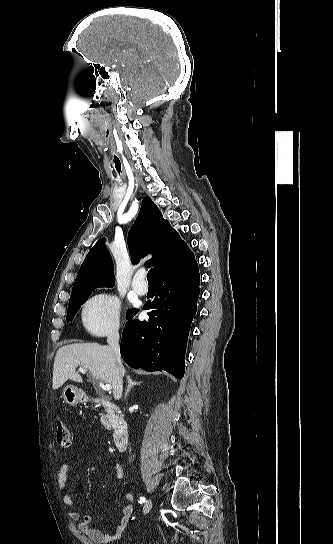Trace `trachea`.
Segmentation results:
<instances>
[{
  "label": "trachea",
  "instance_id": "obj_1",
  "mask_svg": "<svg viewBox=\"0 0 333 544\" xmlns=\"http://www.w3.org/2000/svg\"><path fill=\"white\" fill-rule=\"evenodd\" d=\"M147 279H148V282L150 283H155L156 281V278H155V273H154V269L151 268L149 271H148V274H147Z\"/></svg>",
  "mask_w": 333,
  "mask_h": 544
}]
</instances>
